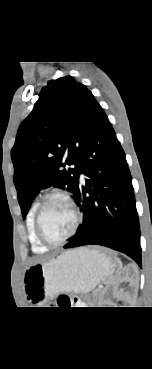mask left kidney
Returning a JSON list of instances; mask_svg holds the SVG:
<instances>
[{"label": "left kidney", "instance_id": "5707ae66", "mask_svg": "<svg viewBox=\"0 0 152 369\" xmlns=\"http://www.w3.org/2000/svg\"><path fill=\"white\" fill-rule=\"evenodd\" d=\"M129 282V285L133 290H136L139 285V273L136 267L128 265L123 268L119 274L111 281L109 286L105 288L99 296V307H110L113 305L111 297L118 300H124L127 296L120 288L121 283Z\"/></svg>", "mask_w": 152, "mask_h": 369}]
</instances>
